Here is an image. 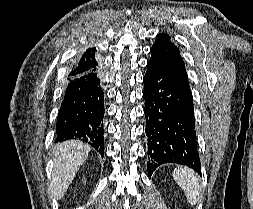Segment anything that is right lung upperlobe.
Masks as SVG:
<instances>
[{
    "mask_svg": "<svg viewBox=\"0 0 253 209\" xmlns=\"http://www.w3.org/2000/svg\"><path fill=\"white\" fill-rule=\"evenodd\" d=\"M98 68L99 62L96 55V48H89L78 59L73 70L69 73V78L97 71Z\"/></svg>",
    "mask_w": 253,
    "mask_h": 209,
    "instance_id": "right-lung-upper-lobe-1",
    "label": "right lung upper lobe"
}]
</instances>
